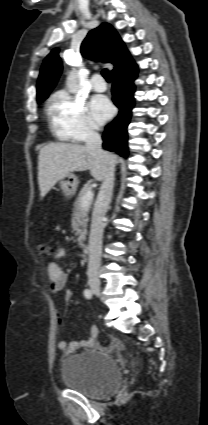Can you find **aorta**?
Masks as SVG:
<instances>
[{"instance_id":"aorta-1","label":"aorta","mask_w":208,"mask_h":425,"mask_svg":"<svg viewBox=\"0 0 208 425\" xmlns=\"http://www.w3.org/2000/svg\"><path fill=\"white\" fill-rule=\"evenodd\" d=\"M66 87L68 92L70 93H76L78 90V80H77V74L73 70L69 73L66 79Z\"/></svg>"}]
</instances>
